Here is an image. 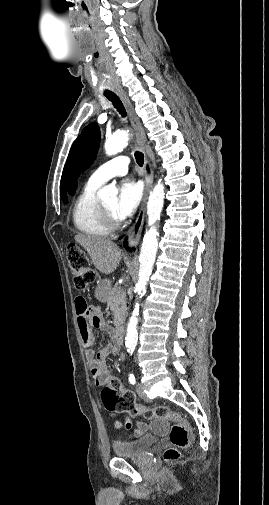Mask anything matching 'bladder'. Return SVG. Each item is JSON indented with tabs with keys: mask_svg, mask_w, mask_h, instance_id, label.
<instances>
[{
	"mask_svg": "<svg viewBox=\"0 0 269 505\" xmlns=\"http://www.w3.org/2000/svg\"><path fill=\"white\" fill-rule=\"evenodd\" d=\"M156 443L155 436L145 434L132 440L116 441L112 448L118 458H142Z\"/></svg>",
	"mask_w": 269,
	"mask_h": 505,
	"instance_id": "obj_1",
	"label": "bladder"
}]
</instances>
